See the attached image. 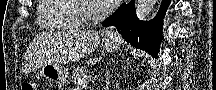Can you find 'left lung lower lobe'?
<instances>
[{
    "label": "left lung lower lobe",
    "instance_id": "left-lung-lower-lobe-1",
    "mask_svg": "<svg viewBox=\"0 0 216 90\" xmlns=\"http://www.w3.org/2000/svg\"><path fill=\"white\" fill-rule=\"evenodd\" d=\"M170 0H162L156 17L150 21H140L136 16L134 0L123 4L103 22V26L114 25L122 37L132 46L145 50L157 58L162 40L163 18Z\"/></svg>",
    "mask_w": 216,
    "mask_h": 90
}]
</instances>
